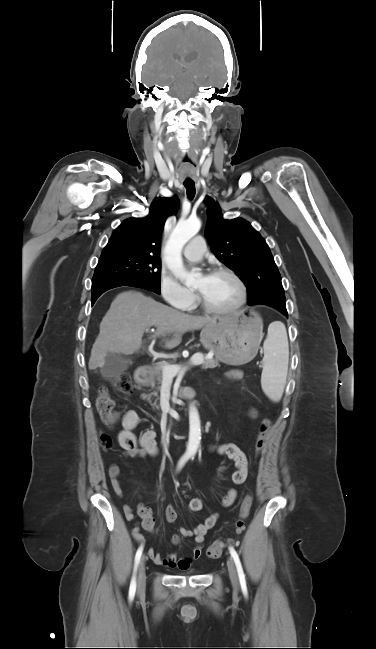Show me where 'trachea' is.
Returning <instances> with one entry per match:
<instances>
[{"mask_svg": "<svg viewBox=\"0 0 376 649\" xmlns=\"http://www.w3.org/2000/svg\"><path fill=\"white\" fill-rule=\"evenodd\" d=\"M184 186L186 188V193L187 197L189 200H192L196 194V189H195V183L194 182H187L184 183Z\"/></svg>", "mask_w": 376, "mask_h": 649, "instance_id": "1", "label": "trachea"}]
</instances>
